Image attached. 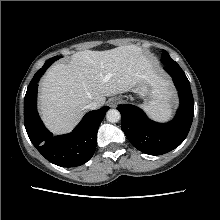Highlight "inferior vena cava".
Returning a JSON list of instances; mask_svg holds the SVG:
<instances>
[{"label":"inferior vena cava","instance_id":"1","mask_svg":"<svg viewBox=\"0 0 220 220\" xmlns=\"http://www.w3.org/2000/svg\"><path fill=\"white\" fill-rule=\"evenodd\" d=\"M100 107V104L98 102H91L90 104H88L86 106L87 109H90V110H95V109H98Z\"/></svg>","mask_w":220,"mask_h":220}]
</instances>
